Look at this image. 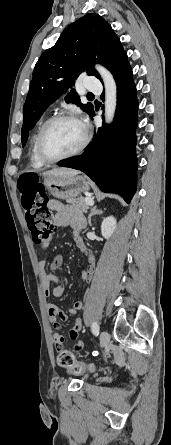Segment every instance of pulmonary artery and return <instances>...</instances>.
Returning a JSON list of instances; mask_svg holds the SVG:
<instances>
[{"instance_id": "e3ab8cb5", "label": "pulmonary artery", "mask_w": 171, "mask_h": 445, "mask_svg": "<svg viewBox=\"0 0 171 445\" xmlns=\"http://www.w3.org/2000/svg\"><path fill=\"white\" fill-rule=\"evenodd\" d=\"M86 89L89 92H99L102 89V84L99 79L89 77L86 81Z\"/></svg>"}]
</instances>
